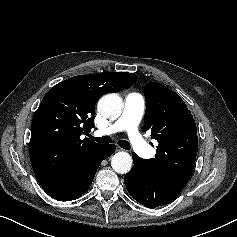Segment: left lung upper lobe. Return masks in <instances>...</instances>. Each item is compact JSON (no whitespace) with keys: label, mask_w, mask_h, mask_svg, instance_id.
<instances>
[{"label":"left lung upper lobe","mask_w":237,"mask_h":237,"mask_svg":"<svg viewBox=\"0 0 237 237\" xmlns=\"http://www.w3.org/2000/svg\"><path fill=\"white\" fill-rule=\"evenodd\" d=\"M143 131L158 141L155 158L145 159L156 173L189 179L195 164L198 139L191 112L181 97L162 84L147 83Z\"/></svg>","instance_id":"1"}]
</instances>
